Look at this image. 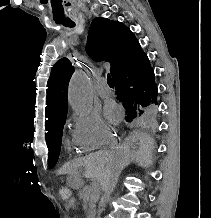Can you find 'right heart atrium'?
<instances>
[{"label": "right heart atrium", "mask_w": 211, "mask_h": 218, "mask_svg": "<svg viewBox=\"0 0 211 218\" xmlns=\"http://www.w3.org/2000/svg\"><path fill=\"white\" fill-rule=\"evenodd\" d=\"M73 121V139L81 147L95 149L108 143L112 134L97 112L76 114Z\"/></svg>", "instance_id": "right-heart-atrium-1"}]
</instances>
